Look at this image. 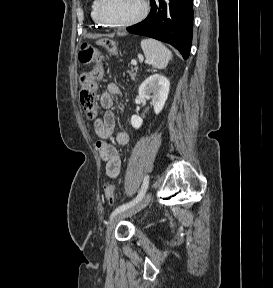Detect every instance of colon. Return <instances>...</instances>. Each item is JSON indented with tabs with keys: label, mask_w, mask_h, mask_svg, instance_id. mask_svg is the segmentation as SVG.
<instances>
[{
	"label": "colon",
	"mask_w": 273,
	"mask_h": 288,
	"mask_svg": "<svg viewBox=\"0 0 273 288\" xmlns=\"http://www.w3.org/2000/svg\"><path fill=\"white\" fill-rule=\"evenodd\" d=\"M104 47L108 52L117 54V46L113 40H106ZM82 64H95L94 67L81 76V87L79 90L80 104L88 118L96 116V81L103 76L100 51L91 44H82L79 54ZM105 197L109 203H113L116 197V188L113 184H107L104 189Z\"/></svg>",
	"instance_id": "5ec220e1"
}]
</instances>
